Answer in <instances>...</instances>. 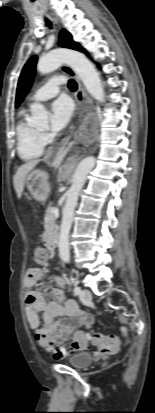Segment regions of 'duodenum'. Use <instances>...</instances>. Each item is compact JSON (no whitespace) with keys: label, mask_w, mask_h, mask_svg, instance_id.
Instances as JSON below:
<instances>
[{"label":"duodenum","mask_w":155,"mask_h":413,"mask_svg":"<svg viewBox=\"0 0 155 413\" xmlns=\"http://www.w3.org/2000/svg\"><path fill=\"white\" fill-rule=\"evenodd\" d=\"M58 240V232L57 230L53 229L51 230V245L56 244Z\"/></svg>","instance_id":"1"}]
</instances>
